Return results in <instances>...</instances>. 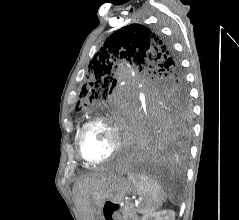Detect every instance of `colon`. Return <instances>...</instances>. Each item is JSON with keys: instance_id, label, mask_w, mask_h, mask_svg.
<instances>
[{"instance_id": "obj_1", "label": "colon", "mask_w": 239, "mask_h": 220, "mask_svg": "<svg viewBox=\"0 0 239 220\" xmlns=\"http://www.w3.org/2000/svg\"><path fill=\"white\" fill-rule=\"evenodd\" d=\"M120 205L118 203L107 201L103 206V216L105 220H118L117 211Z\"/></svg>"}]
</instances>
